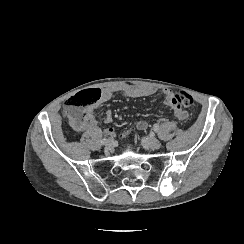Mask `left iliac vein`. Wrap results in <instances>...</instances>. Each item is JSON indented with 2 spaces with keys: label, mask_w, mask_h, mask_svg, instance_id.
Segmentation results:
<instances>
[{
  "label": "left iliac vein",
  "mask_w": 244,
  "mask_h": 244,
  "mask_svg": "<svg viewBox=\"0 0 244 244\" xmlns=\"http://www.w3.org/2000/svg\"><path fill=\"white\" fill-rule=\"evenodd\" d=\"M144 147L148 149H158L161 146L159 140L154 137H145L141 140Z\"/></svg>",
  "instance_id": "left-iliac-vein-1"
}]
</instances>
